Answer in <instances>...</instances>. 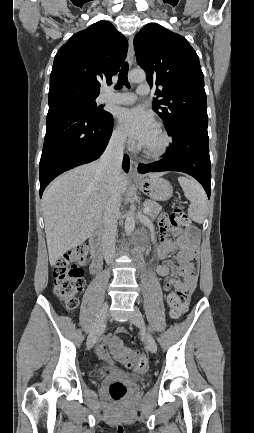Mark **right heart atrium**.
Wrapping results in <instances>:
<instances>
[{
	"label": "right heart atrium",
	"mask_w": 254,
	"mask_h": 433,
	"mask_svg": "<svg viewBox=\"0 0 254 433\" xmlns=\"http://www.w3.org/2000/svg\"><path fill=\"white\" fill-rule=\"evenodd\" d=\"M111 141L116 145H123L126 142V137L119 126L113 128Z\"/></svg>",
	"instance_id": "right-heart-atrium-1"
}]
</instances>
